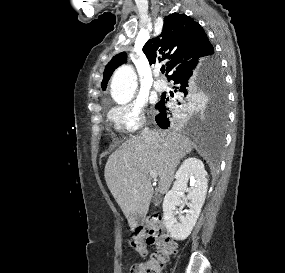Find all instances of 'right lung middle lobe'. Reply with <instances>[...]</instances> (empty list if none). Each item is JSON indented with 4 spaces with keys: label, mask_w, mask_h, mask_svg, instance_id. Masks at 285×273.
<instances>
[{
    "label": "right lung middle lobe",
    "mask_w": 285,
    "mask_h": 273,
    "mask_svg": "<svg viewBox=\"0 0 285 273\" xmlns=\"http://www.w3.org/2000/svg\"><path fill=\"white\" fill-rule=\"evenodd\" d=\"M224 76L221 72L219 60L214 56L210 59L208 67L205 71V79L200 87L194 88L186 96L180 95V103L184 106L192 102L196 96H218L221 101L222 108L220 109L221 121L225 122L226 110V91L224 85ZM179 103V102H178Z\"/></svg>",
    "instance_id": "right-lung-middle-lobe-1"
}]
</instances>
